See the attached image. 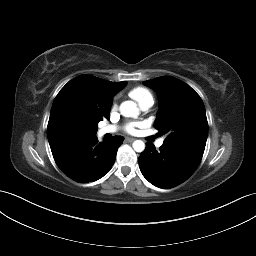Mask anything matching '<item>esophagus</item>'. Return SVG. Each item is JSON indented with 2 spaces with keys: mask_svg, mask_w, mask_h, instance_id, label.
Masks as SVG:
<instances>
[{
  "mask_svg": "<svg viewBox=\"0 0 256 256\" xmlns=\"http://www.w3.org/2000/svg\"><path fill=\"white\" fill-rule=\"evenodd\" d=\"M134 140H135V138H130V137L125 138L126 142H133Z\"/></svg>",
  "mask_w": 256,
  "mask_h": 256,
  "instance_id": "esophagus-1",
  "label": "esophagus"
}]
</instances>
